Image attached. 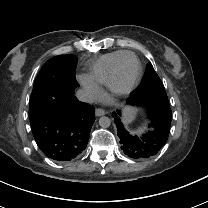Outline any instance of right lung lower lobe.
<instances>
[{"label":"right lung lower lobe","instance_id":"98d812e1","mask_svg":"<svg viewBox=\"0 0 208 208\" xmlns=\"http://www.w3.org/2000/svg\"><path fill=\"white\" fill-rule=\"evenodd\" d=\"M40 116L30 120L34 139L50 159L65 162L86 148L95 121L92 105L78 101L74 94L40 96Z\"/></svg>","mask_w":208,"mask_h":208}]
</instances>
